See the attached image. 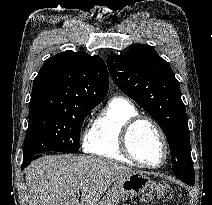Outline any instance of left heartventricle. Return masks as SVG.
Listing matches in <instances>:
<instances>
[{
    "label": "left heart ventricle",
    "mask_w": 212,
    "mask_h": 205,
    "mask_svg": "<svg viewBox=\"0 0 212 205\" xmlns=\"http://www.w3.org/2000/svg\"><path fill=\"white\" fill-rule=\"evenodd\" d=\"M131 148L142 162L157 164L163 158V146L156 130L146 122L137 125L131 134Z\"/></svg>",
    "instance_id": "1"
}]
</instances>
